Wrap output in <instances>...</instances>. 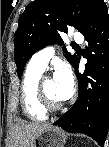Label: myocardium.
I'll list each match as a JSON object with an SVG mask.
<instances>
[{"label": "myocardium", "mask_w": 109, "mask_h": 147, "mask_svg": "<svg viewBox=\"0 0 109 147\" xmlns=\"http://www.w3.org/2000/svg\"><path fill=\"white\" fill-rule=\"evenodd\" d=\"M48 77H44L40 79L37 87V96H38V101L40 106L47 112H57L61 110L62 108V103H54L52 102L49 97L47 96L45 90H44V81Z\"/></svg>", "instance_id": "myocardium-1"}]
</instances>
